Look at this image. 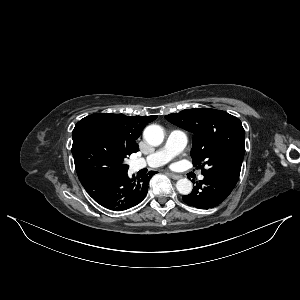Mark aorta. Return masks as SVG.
<instances>
[{
    "instance_id": "aorta-1",
    "label": "aorta",
    "mask_w": 300,
    "mask_h": 300,
    "mask_svg": "<svg viewBox=\"0 0 300 300\" xmlns=\"http://www.w3.org/2000/svg\"><path fill=\"white\" fill-rule=\"evenodd\" d=\"M144 138L152 146L160 145L164 140L163 129L159 125H149L144 130ZM178 192L182 195H188L192 191V182L186 178L180 179L176 183Z\"/></svg>"
}]
</instances>
